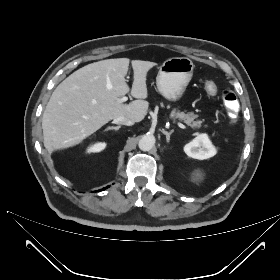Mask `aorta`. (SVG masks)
<instances>
[{"label": "aorta", "mask_w": 280, "mask_h": 280, "mask_svg": "<svg viewBox=\"0 0 280 280\" xmlns=\"http://www.w3.org/2000/svg\"><path fill=\"white\" fill-rule=\"evenodd\" d=\"M155 145V137L153 135H144L139 140L138 146L142 151H150Z\"/></svg>", "instance_id": "762f6f07"}]
</instances>
